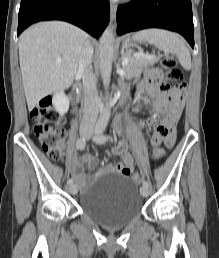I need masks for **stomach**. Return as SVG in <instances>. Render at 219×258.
<instances>
[{
  "label": "stomach",
  "mask_w": 219,
  "mask_h": 258,
  "mask_svg": "<svg viewBox=\"0 0 219 258\" xmlns=\"http://www.w3.org/2000/svg\"><path fill=\"white\" fill-rule=\"evenodd\" d=\"M132 46H133V42L130 39H126L123 42V47H124V50H125V54L131 55V53H132L131 47Z\"/></svg>",
  "instance_id": "0dacf381"
}]
</instances>
